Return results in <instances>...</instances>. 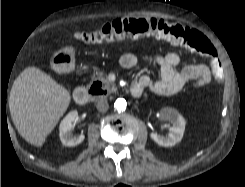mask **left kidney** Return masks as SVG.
Wrapping results in <instances>:
<instances>
[{
	"mask_svg": "<svg viewBox=\"0 0 245 187\" xmlns=\"http://www.w3.org/2000/svg\"><path fill=\"white\" fill-rule=\"evenodd\" d=\"M160 117L161 119L169 121L172 124V126L169 128V134L167 137H164L156 132H152L150 137L160 146L172 147L183 138L186 124L185 119L176 109L171 107L162 108L160 111Z\"/></svg>",
	"mask_w": 245,
	"mask_h": 187,
	"instance_id": "obj_1",
	"label": "left kidney"
}]
</instances>
